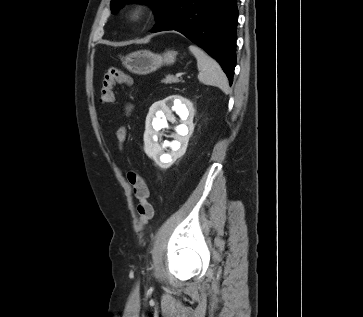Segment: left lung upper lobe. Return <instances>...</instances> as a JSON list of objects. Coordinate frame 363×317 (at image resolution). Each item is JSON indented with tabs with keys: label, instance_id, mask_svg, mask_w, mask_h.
<instances>
[{
	"label": "left lung upper lobe",
	"instance_id": "left-lung-upper-lobe-1",
	"mask_svg": "<svg viewBox=\"0 0 363 317\" xmlns=\"http://www.w3.org/2000/svg\"><path fill=\"white\" fill-rule=\"evenodd\" d=\"M134 1L149 4L154 8L156 17H158L169 0H112L111 10L112 12H115L118 6L125 4L127 2H134Z\"/></svg>",
	"mask_w": 363,
	"mask_h": 317
}]
</instances>
